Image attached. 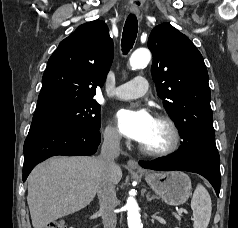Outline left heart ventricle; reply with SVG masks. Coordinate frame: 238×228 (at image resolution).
Returning a JSON list of instances; mask_svg holds the SVG:
<instances>
[{
    "instance_id": "b2bd125f",
    "label": "left heart ventricle",
    "mask_w": 238,
    "mask_h": 228,
    "mask_svg": "<svg viewBox=\"0 0 238 228\" xmlns=\"http://www.w3.org/2000/svg\"><path fill=\"white\" fill-rule=\"evenodd\" d=\"M170 142V132L165 124L154 120L152 129L141 144L150 149H161Z\"/></svg>"
}]
</instances>
